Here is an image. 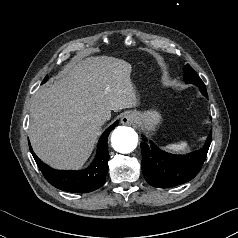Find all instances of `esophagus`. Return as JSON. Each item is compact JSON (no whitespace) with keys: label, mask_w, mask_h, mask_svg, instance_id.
I'll return each instance as SVG.
<instances>
[{"label":"esophagus","mask_w":238,"mask_h":238,"mask_svg":"<svg viewBox=\"0 0 238 238\" xmlns=\"http://www.w3.org/2000/svg\"><path fill=\"white\" fill-rule=\"evenodd\" d=\"M136 122V116L132 113H125L121 118V123L124 125H134Z\"/></svg>","instance_id":"34e87169"}]
</instances>
